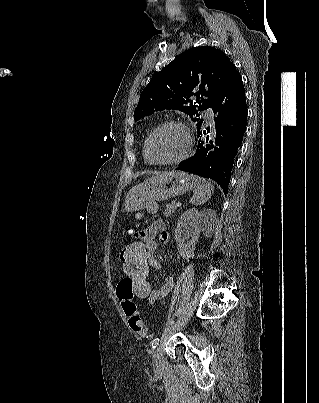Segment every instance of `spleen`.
I'll list each match as a JSON object with an SVG mask.
<instances>
[{"mask_svg": "<svg viewBox=\"0 0 319 403\" xmlns=\"http://www.w3.org/2000/svg\"><path fill=\"white\" fill-rule=\"evenodd\" d=\"M191 177L195 181V186L194 194L190 199V203L196 206L202 205L211 198L214 192V186L205 178H201L193 174Z\"/></svg>", "mask_w": 319, "mask_h": 403, "instance_id": "1", "label": "spleen"}]
</instances>
